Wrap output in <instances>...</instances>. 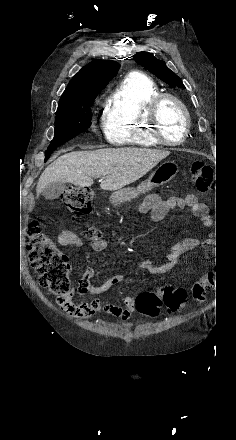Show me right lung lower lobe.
<instances>
[{
    "instance_id": "98d812e1",
    "label": "right lung lower lobe",
    "mask_w": 236,
    "mask_h": 440,
    "mask_svg": "<svg viewBox=\"0 0 236 440\" xmlns=\"http://www.w3.org/2000/svg\"><path fill=\"white\" fill-rule=\"evenodd\" d=\"M56 148H51V149H47L46 150V154H45V161H47L51 155V153L55 150Z\"/></svg>"
}]
</instances>
